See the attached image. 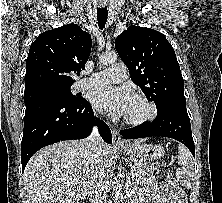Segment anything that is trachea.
I'll list each match as a JSON object with an SVG mask.
<instances>
[{"mask_svg":"<svg viewBox=\"0 0 222 203\" xmlns=\"http://www.w3.org/2000/svg\"><path fill=\"white\" fill-rule=\"evenodd\" d=\"M107 17H108L107 7L99 8L97 10V20H98V26L100 29H103L105 27Z\"/></svg>","mask_w":222,"mask_h":203,"instance_id":"trachea-1","label":"trachea"}]
</instances>
